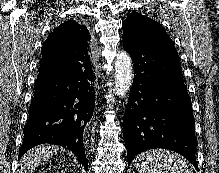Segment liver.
Instances as JSON below:
<instances>
[{
    "label": "liver",
    "mask_w": 219,
    "mask_h": 173,
    "mask_svg": "<svg viewBox=\"0 0 219 173\" xmlns=\"http://www.w3.org/2000/svg\"><path fill=\"white\" fill-rule=\"evenodd\" d=\"M57 150L53 146H40L26 153L21 160V170L19 173H30L40 165L47 162L50 156Z\"/></svg>",
    "instance_id": "obj_1"
}]
</instances>
